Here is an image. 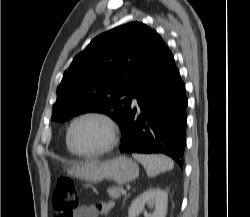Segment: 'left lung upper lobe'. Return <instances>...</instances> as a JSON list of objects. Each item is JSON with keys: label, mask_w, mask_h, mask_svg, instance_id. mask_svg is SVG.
Masks as SVG:
<instances>
[{"label": "left lung upper lobe", "mask_w": 250, "mask_h": 217, "mask_svg": "<svg viewBox=\"0 0 250 217\" xmlns=\"http://www.w3.org/2000/svg\"><path fill=\"white\" fill-rule=\"evenodd\" d=\"M162 42L153 29L138 22L93 39L65 71L52 120L65 122L95 111L122 126L131 108L132 91L153 64Z\"/></svg>", "instance_id": "1"}]
</instances>
